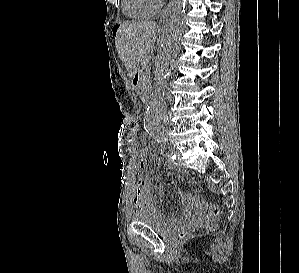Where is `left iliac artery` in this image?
<instances>
[{
  "instance_id": "44dca946",
  "label": "left iliac artery",
  "mask_w": 299,
  "mask_h": 273,
  "mask_svg": "<svg viewBox=\"0 0 299 273\" xmlns=\"http://www.w3.org/2000/svg\"><path fill=\"white\" fill-rule=\"evenodd\" d=\"M165 141H166L165 139H161V140H160L161 143H165ZM169 156H170L172 159H176V155H175V153H174L173 151H170V152H169Z\"/></svg>"
}]
</instances>
